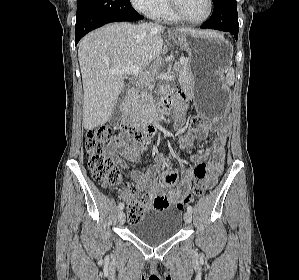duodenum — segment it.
Returning <instances> with one entry per match:
<instances>
[{
	"label": "duodenum",
	"mask_w": 299,
	"mask_h": 280,
	"mask_svg": "<svg viewBox=\"0 0 299 280\" xmlns=\"http://www.w3.org/2000/svg\"><path fill=\"white\" fill-rule=\"evenodd\" d=\"M134 97V91H130L127 93L124 103V107L126 110L129 109ZM184 107L185 104L183 100H180L177 94H172L161 102L158 114L152 121L146 124H139L132 121L129 117L126 116L124 120V128L136 140H149L156 135L159 130L160 120L169 110H173L175 118H177Z\"/></svg>",
	"instance_id": "obj_1"
}]
</instances>
